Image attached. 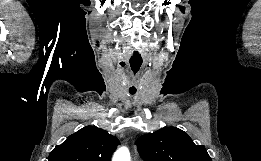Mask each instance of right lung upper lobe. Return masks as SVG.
<instances>
[{"label": "right lung upper lobe", "instance_id": "right-lung-upper-lobe-1", "mask_svg": "<svg viewBox=\"0 0 261 161\" xmlns=\"http://www.w3.org/2000/svg\"><path fill=\"white\" fill-rule=\"evenodd\" d=\"M119 140L107 131L86 126L57 145L49 161H110Z\"/></svg>", "mask_w": 261, "mask_h": 161}]
</instances>
